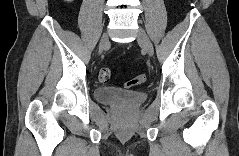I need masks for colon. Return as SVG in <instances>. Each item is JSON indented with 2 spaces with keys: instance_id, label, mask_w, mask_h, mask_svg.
Instances as JSON below:
<instances>
[{
  "instance_id": "5ec220e1",
  "label": "colon",
  "mask_w": 239,
  "mask_h": 156,
  "mask_svg": "<svg viewBox=\"0 0 239 156\" xmlns=\"http://www.w3.org/2000/svg\"><path fill=\"white\" fill-rule=\"evenodd\" d=\"M111 69L110 68H102L100 70V73H99V79L101 82H107L110 80L111 78ZM146 81V76L145 75H140L136 78H133L131 80H128L126 83H125V87L126 88H131V87H135V86H138L142 83H144Z\"/></svg>"
}]
</instances>
